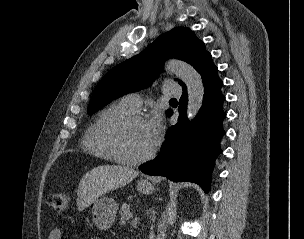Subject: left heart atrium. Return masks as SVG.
Instances as JSON below:
<instances>
[{
    "label": "left heart atrium",
    "instance_id": "39dd6f15",
    "mask_svg": "<svg viewBox=\"0 0 304 239\" xmlns=\"http://www.w3.org/2000/svg\"><path fill=\"white\" fill-rule=\"evenodd\" d=\"M146 129L148 132V135L152 141V143H156L158 140L161 130H162V122L161 118L158 115L152 116L147 122H146Z\"/></svg>",
    "mask_w": 304,
    "mask_h": 239
}]
</instances>
